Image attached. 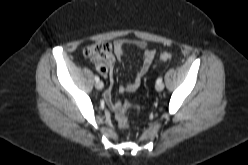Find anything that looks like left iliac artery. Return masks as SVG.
Masks as SVG:
<instances>
[{"mask_svg": "<svg viewBox=\"0 0 248 165\" xmlns=\"http://www.w3.org/2000/svg\"><path fill=\"white\" fill-rule=\"evenodd\" d=\"M157 83H160V82H162V77H159L158 79H157V81H156Z\"/></svg>", "mask_w": 248, "mask_h": 165, "instance_id": "1", "label": "left iliac artery"}]
</instances>
